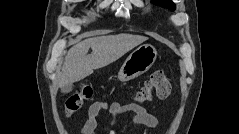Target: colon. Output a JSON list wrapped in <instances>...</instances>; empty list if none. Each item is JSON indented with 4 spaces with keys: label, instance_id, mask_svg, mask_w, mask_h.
I'll use <instances>...</instances> for the list:
<instances>
[{
    "label": "colon",
    "instance_id": "5ec220e1",
    "mask_svg": "<svg viewBox=\"0 0 239 134\" xmlns=\"http://www.w3.org/2000/svg\"><path fill=\"white\" fill-rule=\"evenodd\" d=\"M171 88L172 84L168 76L161 70L154 71L137 93L136 100L140 103H146L151 101L154 95L161 99L167 98L171 93ZM92 95V87L86 83L81 84L79 90L67 98L65 114L71 116L80 111Z\"/></svg>",
    "mask_w": 239,
    "mask_h": 134
}]
</instances>
